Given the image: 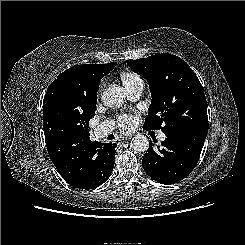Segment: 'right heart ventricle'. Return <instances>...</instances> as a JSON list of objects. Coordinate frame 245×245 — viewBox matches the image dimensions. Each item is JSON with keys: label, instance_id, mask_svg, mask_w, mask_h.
I'll return each instance as SVG.
<instances>
[{"label": "right heart ventricle", "instance_id": "e07e8e85", "mask_svg": "<svg viewBox=\"0 0 245 245\" xmlns=\"http://www.w3.org/2000/svg\"><path fill=\"white\" fill-rule=\"evenodd\" d=\"M120 79L127 90L133 87L139 81H142L140 76L133 71L122 72L120 74Z\"/></svg>", "mask_w": 245, "mask_h": 245}]
</instances>
